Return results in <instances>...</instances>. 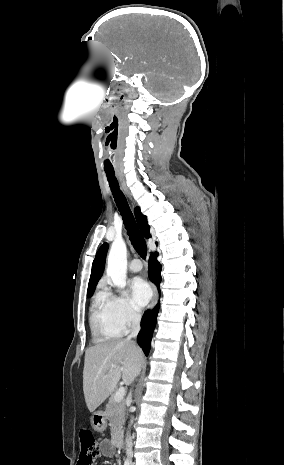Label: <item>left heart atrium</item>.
Masks as SVG:
<instances>
[{
    "label": "left heart atrium",
    "instance_id": "obj_1",
    "mask_svg": "<svg viewBox=\"0 0 284 465\" xmlns=\"http://www.w3.org/2000/svg\"><path fill=\"white\" fill-rule=\"evenodd\" d=\"M151 298L148 284L141 278H134L129 284V301L131 305L140 310L144 308Z\"/></svg>",
    "mask_w": 284,
    "mask_h": 465
}]
</instances>
